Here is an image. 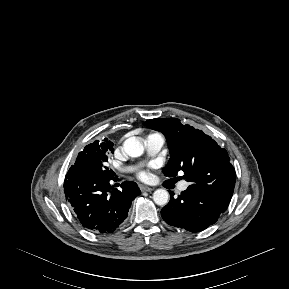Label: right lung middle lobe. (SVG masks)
I'll return each mask as SVG.
<instances>
[{"label":"right lung middle lobe","mask_w":289,"mask_h":289,"mask_svg":"<svg viewBox=\"0 0 289 289\" xmlns=\"http://www.w3.org/2000/svg\"><path fill=\"white\" fill-rule=\"evenodd\" d=\"M113 152V143L95 141L79 153L75 165L71 168L79 169L97 178L110 179L113 172L109 170L106 164L109 154Z\"/></svg>","instance_id":"obj_1"}]
</instances>
